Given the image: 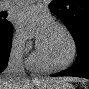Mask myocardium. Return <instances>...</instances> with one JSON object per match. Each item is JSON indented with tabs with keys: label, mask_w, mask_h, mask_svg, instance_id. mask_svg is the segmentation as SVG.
Wrapping results in <instances>:
<instances>
[{
	"label": "myocardium",
	"mask_w": 89,
	"mask_h": 89,
	"mask_svg": "<svg viewBox=\"0 0 89 89\" xmlns=\"http://www.w3.org/2000/svg\"><path fill=\"white\" fill-rule=\"evenodd\" d=\"M53 25L56 26L57 28L61 29L65 33V35L67 36V38L70 42L71 54H70L69 59L66 62L61 63V64L50 63L44 57L39 42H37V44H36V56L38 57L40 62L43 64L44 69L61 70V69H65V68L69 67L75 61L76 54H77V45H76V42H75V39H74L72 33L70 32V30L64 24H62L60 22H55Z\"/></svg>",
	"instance_id": "myocardium-1"
}]
</instances>
